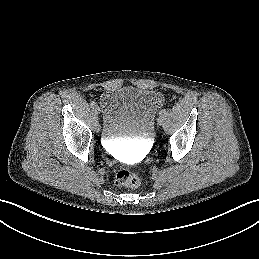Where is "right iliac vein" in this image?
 Wrapping results in <instances>:
<instances>
[{"label":"right iliac vein","mask_w":259,"mask_h":259,"mask_svg":"<svg viewBox=\"0 0 259 259\" xmlns=\"http://www.w3.org/2000/svg\"><path fill=\"white\" fill-rule=\"evenodd\" d=\"M94 112H95L96 114H99V113H100V109H99L98 106H95V107H94ZM96 128L99 129L98 126H96Z\"/></svg>","instance_id":"63e3f726"}]
</instances>
